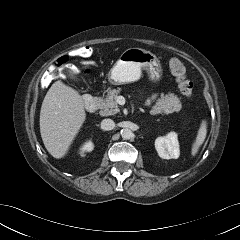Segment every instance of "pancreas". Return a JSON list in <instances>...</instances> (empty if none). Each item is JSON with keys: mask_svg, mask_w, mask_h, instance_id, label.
Listing matches in <instances>:
<instances>
[{"mask_svg": "<svg viewBox=\"0 0 240 240\" xmlns=\"http://www.w3.org/2000/svg\"><path fill=\"white\" fill-rule=\"evenodd\" d=\"M120 93L119 89H114L109 92L106 98L99 100L100 115L110 116L120 112L119 106L115 101L116 97ZM182 108V103L177 95L174 93H168L157 101V103L151 108L150 114L157 115L168 111H179Z\"/></svg>", "mask_w": 240, "mask_h": 240, "instance_id": "obj_1", "label": "pancreas"}]
</instances>
